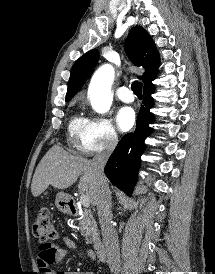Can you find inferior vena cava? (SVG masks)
I'll list each match as a JSON object with an SVG mask.
<instances>
[{
	"label": "inferior vena cava",
	"instance_id": "602c4592",
	"mask_svg": "<svg viewBox=\"0 0 215 274\" xmlns=\"http://www.w3.org/2000/svg\"><path fill=\"white\" fill-rule=\"evenodd\" d=\"M117 143L116 136L110 137L106 142L105 149L96 154L91 161L97 179V213L107 254V263L112 271L120 270L121 261L118 238L112 225L111 192L104 174V167Z\"/></svg>",
	"mask_w": 215,
	"mask_h": 274
}]
</instances>
